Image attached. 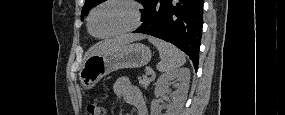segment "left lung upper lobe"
<instances>
[{"instance_id":"left-lung-upper-lobe-1","label":"left lung upper lobe","mask_w":285,"mask_h":115,"mask_svg":"<svg viewBox=\"0 0 285 115\" xmlns=\"http://www.w3.org/2000/svg\"><path fill=\"white\" fill-rule=\"evenodd\" d=\"M137 1L143 3L145 0H137ZM101 2H103V0H85V5L81 12L82 16H85L91 8L100 4Z\"/></svg>"}]
</instances>
